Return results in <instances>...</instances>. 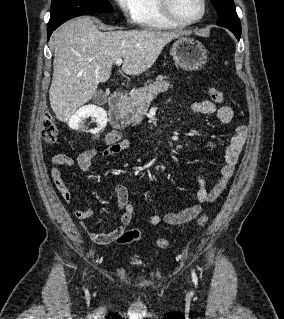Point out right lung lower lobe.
<instances>
[{"label": "right lung lower lobe", "mask_w": 284, "mask_h": 319, "mask_svg": "<svg viewBox=\"0 0 284 319\" xmlns=\"http://www.w3.org/2000/svg\"><path fill=\"white\" fill-rule=\"evenodd\" d=\"M56 28H51L47 30V36H48V40L50 38V35L52 34V32L55 30Z\"/></svg>", "instance_id": "1"}]
</instances>
